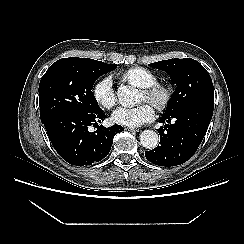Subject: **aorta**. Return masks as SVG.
<instances>
[{
  "instance_id": "obj_1",
  "label": "aorta",
  "mask_w": 244,
  "mask_h": 244,
  "mask_svg": "<svg viewBox=\"0 0 244 244\" xmlns=\"http://www.w3.org/2000/svg\"><path fill=\"white\" fill-rule=\"evenodd\" d=\"M117 97L123 106H132L137 102V90L121 85L117 90ZM140 142L146 149H153L158 145L159 136L153 130H145L140 135Z\"/></svg>"
}]
</instances>
